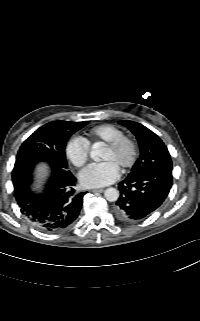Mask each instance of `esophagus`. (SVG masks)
I'll return each instance as SVG.
<instances>
[{"label":"esophagus","instance_id":"34e87169","mask_svg":"<svg viewBox=\"0 0 200 321\" xmlns=\"http://www.w3.org/2000/svg\"><path fill=\"white\" fill-rule=\"evenodd\" d=\"M104 191V189H93L92 192L95 193H102Z\"/></svg>","mask_w":200,"mask_h":321}]
</instances>
